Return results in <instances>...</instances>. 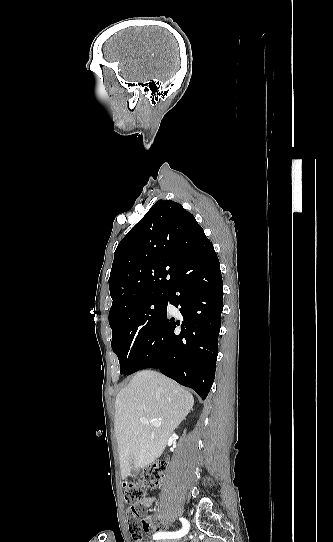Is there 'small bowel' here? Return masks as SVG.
Instances as JSON below:
<instances>
[{
  "label": "small bowel",
  "instance_id": "obj_1",
  "mask_svg": "<svg viewBox=\"0 0 333 542\" xmlns=\"http://www.w3.org/2000/svg\"><path fill=\"white\" fill-rule=\"evenodd\" d=\"M155 501V497L153 495H148L145 497V499L141 502V506L144 508H150ZM133 513V512H132ZM141 528H143V531L145 533H148L149 531L154 532L155 534H158L163 531V526L158 524H151L150 522H143L141 523Z\"/></svg>",
  "mask_w": 333,
  "mask_h": 542
}]
</instances>
